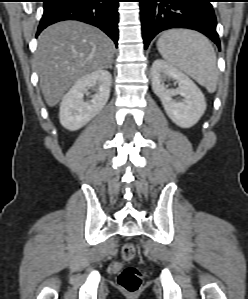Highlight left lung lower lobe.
Returning <instances> with one entry per match:
<instances>
[{
	"mask_svg": "<svg viewBox=\"0 0 248 299\" xmlns=\"http://www.w3.org/2000/svg\"><path fill=\"white\" fill-rule=\"evenodd\" d=\"M212 0H139L144 48L161 31L189 28L210 38L220 49Z\"/></svg>",
	"mask_w": 248,
	"mask_h": 299,
	"instance_id": "obj_1",
	"label": "left lung lower lobe"
}]
</instances>
